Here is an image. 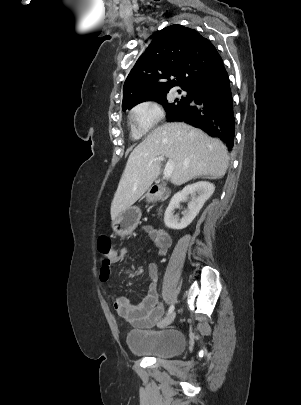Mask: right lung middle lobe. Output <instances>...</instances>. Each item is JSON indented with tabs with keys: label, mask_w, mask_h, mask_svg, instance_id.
<instances>
[{
	"label": "right lung middle lobe",
	"mask_w": 301,
	"mask_h": 405,
	"mask_svg": "<svg viewBox=\"0 0 301 405\" xmlns=\"http://www.w3.org/2000/svg\"><path fill=\"white\" fill-rule=\"evenodd\" d=\"M186 91H188V90H186ZM179 92H180V91H179ZM188 92H189V94H188V97H187V98H183V97H182L181 99H176L175 102H173V103H169V102L167 101V99H166V94L168 93V91H167V92L160 93V94H156V95H153V96H150V97H147V98L144 99L143 101H150V100H152V101H156V102H158V103H160V104H163L164 108H165L166 111H167V116H168V115H170L172 112H174L175 110H177L178 108L187 105V104L191 101V98H192V91H188ZM123 111H125V110H123Z\"/></svg>",
	"instance_id": "right-lung-middle-lobe-1"
}]
</instances>
